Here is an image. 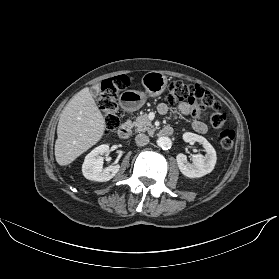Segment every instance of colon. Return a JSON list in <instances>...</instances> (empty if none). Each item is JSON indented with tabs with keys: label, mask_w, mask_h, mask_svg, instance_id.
Returning <instances> with one entry per match:
<instances>
[{
	"label": "colon",
	"mask_w": 279,
	"mask_h": 279,
	"mask_svg": "<svg viewBox=\"0 0 279 279\" xmlns=\"http://www.w3.org/2000/svg\"><path fill=\"white\" fill-rule=\"evenodd\" d=\"M129 85L128 78L117 76L101 83L97 93V104L104 118L105 131L111 132L120 124L118 96ZM167 100L170 104L189 102L193 108V115L201 117L210 113V123L214 128L221 129L218 141L223 149L233 147L235 132L225 127L226 115L221 111L220 103L215 96L199 85L173 81L168 87Z\"/></svg>",
	"instance_id": "colon-1"
}]
</instances>
